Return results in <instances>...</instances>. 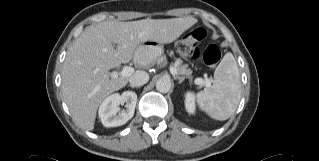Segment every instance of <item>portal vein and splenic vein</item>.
Listing matches in <instances>:
<instances>
[{"label":"portal vein and splenic vein","mask_w":319,"mask_h":161,"mask_svg":"<svg viewBox=\"0 0 319 161\" xmlns=\"http://www.w3.org/2000/svg\"><path fill=\"white\" fill-rule=\"evenodd\" d=\"M133 72H134V69L132 67L124 66L121 72L113 71L111 73V75L113 77H118V76L129 77ZM170 72H171L172 75H176L177 74V70L173 66L170 67ZM195 83L197 85H200V84L210 85V81L208 79H206L204 81L201 78H196L195 79Z\"/></svg>","instance_id":"18ae733b"}]
</instances>
